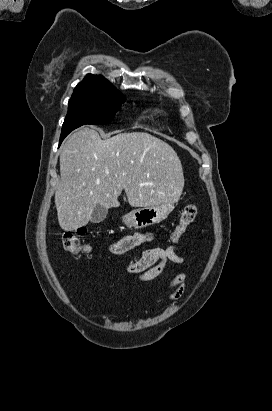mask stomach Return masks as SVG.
<instances>
[{"instance_id":"obj_1","label":"stomach","mask_w":272,"mask_h":411,"mask_svg":"<svg viewBox=\"0 0 272 411\" xmlns=\"http://www.w3.org/2000/svg\"><path fill=\"white\" fill-rule=\"evenodd\" d=\"M175 202H167L156 206L135 209L124 215L122 217V222L127 227L136 229L160 223L173 211Z\"/></svg>"}]
</instances>
